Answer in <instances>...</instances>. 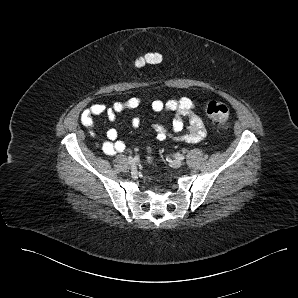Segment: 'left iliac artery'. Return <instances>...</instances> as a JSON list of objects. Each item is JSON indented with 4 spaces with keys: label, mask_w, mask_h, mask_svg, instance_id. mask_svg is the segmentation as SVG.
Returning a JSON list of instances; mask_svg holds the SVG:
<instances>
[{
    "label": "left iliac artery",
    "mask_w": 298,
    "mask_h": 298,
    "mask_svg": "<svg viewBox=\"0 0 298 298\" xmlns=\"http://www.w3.org/2000/svg\"><path fill=\"white\" fill-rule=\"evenodd\" d=\"M174 157H175L176 159H178V160H184V159H185L184 155L179 154V153H176V154L174 155Z\"/></svg>",
    "instance_id": "obj_1"
}]
</instances>
